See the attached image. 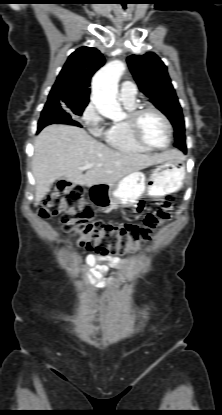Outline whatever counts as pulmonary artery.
I'll use <instances>...</instances> for the list:
<instances>
[{
	"mask_svg": "<svg viewBox=\"0 0 222 415\" xmlns=\"http://www.w3.org/2000/svg\"><path fill=\"white\" fill-rule=\"evenodd\" d=\"M137 89L134 83L124 81L120 86V98L122 101H133L136 97Z\"/></svg>",
	"mask_w": 222,
	"mask_h": 415,
	"instance_id": "obj_1",
	"label": "pulmonary artery"
}]
</instances>
